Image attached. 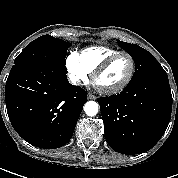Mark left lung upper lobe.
<instances>
[{"mask_svg":"<svg viewBox=\"0 0 178 178\" xmlns=\"http://www.w3.org/2000/svg\"><path fill=\"white\" fill-rule=\"evenodd\" d=\"M118 43L121 48L130 54L135 62V73L129 83L152 75L166 74L160 63L147 50L136 44L122 41H118Z\"/></svg>","mask_w":178,"mask_h":178,"instance_id":"left-lung-upper-lobe-1","label":"left lung upper lobe"}]
</instances>
